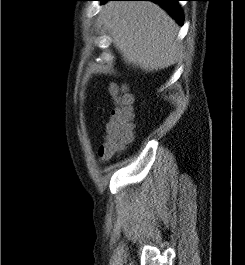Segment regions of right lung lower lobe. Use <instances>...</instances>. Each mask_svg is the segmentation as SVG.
I'll use <instances>...</instances> for the list:
<instances>
[{
	"mask_svg": "<svg viewBox=\"0 0 245 265\" xmlns=\"http://www.w3.org/2000/svg\"><path fill=\"white\" fill-rule=\"evenodd\" d=\"M98 1H100L101 3H105L106 1H112V0H98ZM125 1H152L158 3L165 10H167L169 14L173 18H175V20L179 24H182L183 22L182 11L180 10V6L178 5V1L180 0H125Z\"/></svg>",
	"mask_w": 245,
	"mask_h": 265,
	"instance_id": "obj_1",
	"label": "right lung lower lobe"
}]
</instances>
